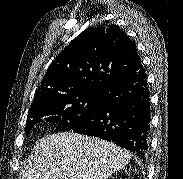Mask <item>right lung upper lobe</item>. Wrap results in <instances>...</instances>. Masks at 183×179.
Returning <instances> with one entry per match:
<instances>
[{"label":"right lung upper lobe","instance_id":"obj_1","mask_svg":"<svg viewBox=\"0 0 183 179\" xmlns=\"http://www.w3.org/2000/svg\"><path fill=\"white\" fill-rule=\"evenodd\" d=\"M141 66L134 42L118 26L88 27L51 63L31 106L57 97L100 94Z\"/></svg>","mask_w":183,"mask_h":179}]
</instances>
